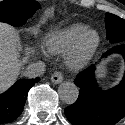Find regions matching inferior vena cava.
Returning <instances> with one entry per match:
<instances>
[{"label": "inferior vena cava", "instance_id": "obj_1", "mask_svg": "<svg viewBox=\"0 0 125 125\" xmlns=\"http://www.w3.org/2000/svg\"><path fill=\"white\" fill-rule=\"evenodd\" d=\"M45 71V63L38 61L36 63H31L24 70L23 75L28 78H35L41 76Z\"/></svg>", "mask_w": 125, "mask_h": 125}]
</instances>
